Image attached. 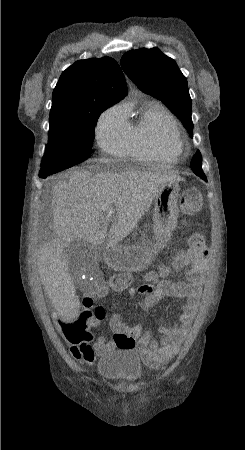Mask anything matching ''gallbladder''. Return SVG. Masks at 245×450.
<instances>
[{"label":"gallbladder","mask_w":245,"mask_h":450,"mask_svg":"<svg viewBox=\"0 0 245 450\" xmlns=\"http://www.w3.org/2000/svg\"><path fill=\"white\" fill-rule=\"evenodd\" d=\"M65 255L69 263V273L76 284H78L82 273L88 275L98 266L101 260V253L97 247L79 239L68 245Z\"/></svg>","instance_id":"obj_1"}]
</instances>
